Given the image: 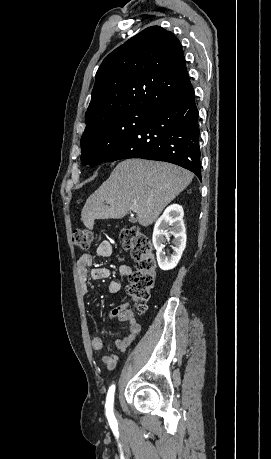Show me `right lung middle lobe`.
<instances>
[{
  "label": "right lung middle lobe",
  "instance_id": "1",
  "mask_svg": "<svg viewBox=\"0 0 271 459\" xmlns=\"http://www.w3.org/2000/svg\"><path fill=\"white\" fill-rule=\"evenodd\" d=\"M155 109L149 105H139L86 122L80 141L82 164L93 167L105 162Z\"/></svg>",
  "mask_w": 271,
  "mask_h": 459
}]
</instances>
